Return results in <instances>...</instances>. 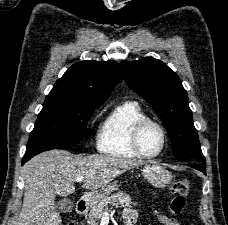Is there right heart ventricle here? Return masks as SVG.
Instances as JSON below:
<instances>
[{
	"instance_id": "1",
	"label": "right heart ventricle",
	"mask_w": 228,
	"mask_h": 225,
	"mask_svg": "<svg viewBox=\"0 0 228 225\" xmlns=\"http://www.w3.org/2000/svg\"><path fill=\"white\" fill-rule=\"evenodd\" d=\"M144 118L147 115L138 102L124 101L118 104L98 135L99 151L112 157L140 158L132 145V132L136 123Z\"/></svg>"
}]
</instances>
